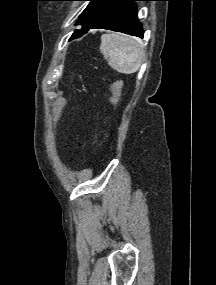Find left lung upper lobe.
<instances>
[{
    "label": "left lung upper lobe",
    "mask_w": 216,
    "mask_h": 285,
    "mask_svg": "<svg viewBox=\"0 0 216 285\" xmlns=\"http://www.w3.org/2000/svg\"><path fill=\"white\" fill-rule=\"evenodd\" d=\"M90 1L86 9L82 12L76 24L81 25L80 30L88 28L104 11L111 7L118 0H84Z\"/></svg>",
    "instance_id": "5c2ea615"
}]
</instances>
